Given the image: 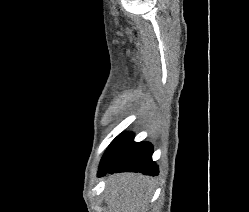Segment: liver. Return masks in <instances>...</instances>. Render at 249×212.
<instances>
[{
    "mask_svg": "<svg viewBox=\"0 0 249 212\" xmlns=\"http://www.w3.org/2000/svg\"><path fill=\"white\" fill-rule=\"evenodd\" d=\"M152 184L143 174H109L104 198L109 212H148Z\"/></svg>",
    "mask_w": 249,
    "mask_h": 212,
    "instance_id": "liver-1",
    "label": "liver"
}]
</instances>
